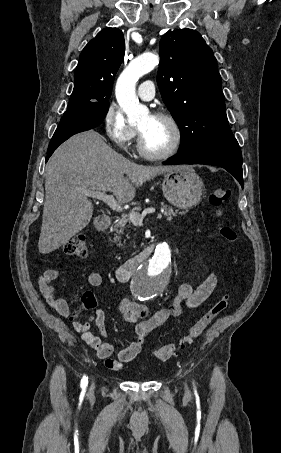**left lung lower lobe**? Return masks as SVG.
<instances>
[{"label": "left lung lower lobe", "mask_w": 281, "mask_h": 453, "mask_svg": "<svg viewBox=\"0 0 281 453\" xmlns=\"http://www.w3.org/2000/svg\"><path fill=\"white\" fill-rule=\"evenodd\" d=\"M163 164H206L219 166L231 173L243 188L242 153L235 138L195 150L180 152L168 161L163 162Z\"/></svg>", "instance_id": "1"}]
</instances>
